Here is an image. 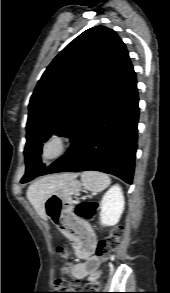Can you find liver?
Masks as SVG:
<instances>
[{"mask_svg": "<svg viewBox=\"0 0 170 293\" xmlns=\"http://www.w3.org/2000/svg\"><path fill=\"white\" fill-rule=\"evenodd\" d=\"M77 177V174H58L44 177L31 186L27 190V198L34 207L37 214L46 219L44 211V203L48 196L59 186Z\"/></svg>", "mask_w": 170, "mask_h": 293, "instance_id": "obj_1", "label": "liver"}]
</instances>
